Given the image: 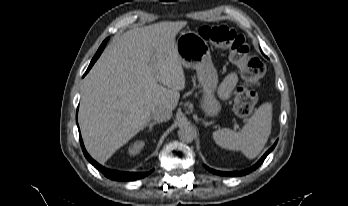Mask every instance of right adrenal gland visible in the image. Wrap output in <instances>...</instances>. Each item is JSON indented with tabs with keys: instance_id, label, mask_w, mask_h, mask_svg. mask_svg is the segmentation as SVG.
Masks as SVG:
<instances>
[{
	"instance_id": "1",
	"label": "right adrenal gland",
	"mask_w": 348,
	"mask_h": 206,
	"mask_svg": "<svg viewBox=\"0 0 348 206\" xmlns=\"http://www.w3.org/2000/svg\"><path fill=\"white\" fill-rule=\"evenodd\" d=\"M159 123H160V122H158V121L148 122V123L145 125V127H148V128H149V131H152L153 126L156 125V124H159Z\"/></svg>"
}]
</instances>
